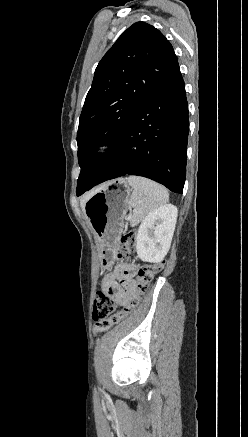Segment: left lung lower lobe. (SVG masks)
Segmentation results:
<instances>
[{"mask_svg": "<svg viewBox=\"0 0 248 437\" xmlns=\"http://www.w3.org/2000/svg\"><path fill=\"white\" fill-rule=\"evenodd\" d=\"M188 132L185 85L176 62L132 115L118 147L88 189L129 174L183 193Z\"/></svg>", "mask_w": 248, "mask_h": 437, "instance_id": "1", "label": "left lung lower lobe"}]
</instances>
